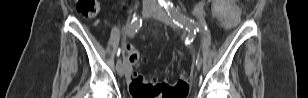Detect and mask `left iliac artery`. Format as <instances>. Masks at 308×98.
Masks as SVG:
<instances>
[{
  "mask_svg": "<svg viewBox=\"0 0 308 98\" xmlns=\"http://www.w3.org/2000/svg\"><path fill=\"white\" fill-rule=\"evenodd\" d=\"M165 8L168 12V15L173 20L175 24H177L180 27H186V29L196 32H201L202 35L209 36L211 34L212 26L210 24H204L203 26L201 24H198L196 26V23L194 20L186 17L183 15L172 3L168 2L165 4ZM211 40V39H210Z\"/></svg>",
  "mask_w": 308,
  "mask_h": 98,
  "instance_id": "left-iliac-artery-1",
  "label": "left iliac artery"
}]
</instances>
